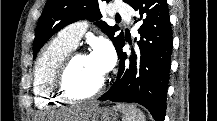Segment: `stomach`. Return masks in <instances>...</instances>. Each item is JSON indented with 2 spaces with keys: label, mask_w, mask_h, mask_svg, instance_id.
<instances>
[{
  "label": "stomach",
  "mask_w": 217,
  "mask_h": 121,
  "mask_svg": "<svg viewBox=\"0 0 217 121\" xmlns=\"http://www.w3.org/2000/svg\"><path fill=\"white\" fill-rule=\"evenodd\" d=\"M118 114L109 107L95 106L86 117V121H117Z\"/></svg>",
  "instance_id": "1"
}]
</instances>
